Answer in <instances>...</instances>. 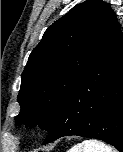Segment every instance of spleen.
Returning a JSON list of instances; mask_svg holds the SVG:
<instances>
[{
	"label": "spleen",
	"mask_w": 123,
	"mask_h": 152,
	"mask_svg": "<svg viewBox=\"0 0 123 152\" xmlns=\"http://www.w3.org/2000/svg\"><path fill=\"white\" fill-rule=\"evenodd\" d=\"M69 152H116V151L101 141L89 139V140H84L83 142L73 146L69 150Z\"/></svg>",
	"instance_id": "obj_1"
}]
</instances>
